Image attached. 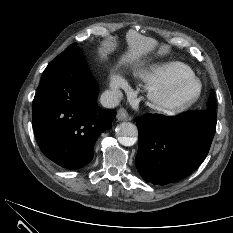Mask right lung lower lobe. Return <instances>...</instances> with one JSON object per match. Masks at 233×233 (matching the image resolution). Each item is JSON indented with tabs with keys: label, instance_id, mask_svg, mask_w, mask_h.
Returning a JSON list of instances; mask_svg holds the SVG:
<instances>
[{
	"label": "right lung lower lobe",
	"instance_id": "98d812e1",
	"mask_svg": "<svg viewBox=\"0 0 233 233\" xmlns=\"http://www.w3.org/2000/svg\"><path fill=\"white\" fill-rule=\"evenodd\" d=\"M98 84L80 57L53 60L33 100L32 125L41 151L67 169L93 158L99 135L111 128L115 110L98 107Z\"/></svg>",
	"mask_w": 233,
	"mask_h": 233
}]
</instances>
